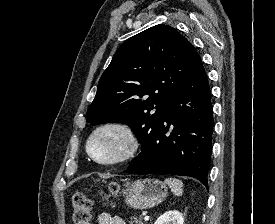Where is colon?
<instances>
[{"label":"colon","instance_id":"colon-1","mask_svg":"<svg viewBox=\"0 0 275 224\" xmlns=\"http://www.w3.org/2000/svg\"><path fill=\"white\" fill-rule=\"evenodd\" d=\"M119 185L111 183L109 193L103 194L106 198L110 195L116 196L119 192ZM92 217V202L82 193H76L72 197V220L74 224H90Z\"/></svg>","mask_w":275,"mask_h":224}]
</instances>
